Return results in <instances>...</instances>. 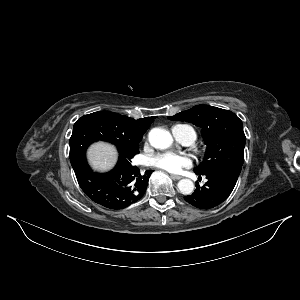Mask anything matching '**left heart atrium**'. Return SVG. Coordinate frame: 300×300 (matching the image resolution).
<instances>
[{
    "instance_id": "1",
    "label": "left heart atrium",
    "mask_w": 300,
    "mask_h": 300,
    "mask_svg": "<svg viewBox=\"0 0 300 300\" xmlns=\"http://www.w3.org/2000/svg\"><path fill=\"white\" fill-rule=\"evenodd\" d=\"M152 166L170 172L178 173L183 168L189 167L192 160L189 156L173 152L159 153L150 160Z\"/></svg>"
}]
</instances>
